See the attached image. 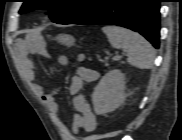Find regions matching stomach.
Masks as SVG:
<instances>
[{"mask_svg": "<svg viewBox=\"0 0 182 140\" xmlns=\"http://www.w3.org/2000/svg\"><path fill=\"white\" fill-rule=\"evenodd\" d=\"M56 39L59 41V43L66 45V46H72L75 42L74 37L71 35H58Z\"/></svg>", "mask_w": 182, "mask_h": 140, "instance_id": "stomach-1", "label": "stomach"}]
</instances>
